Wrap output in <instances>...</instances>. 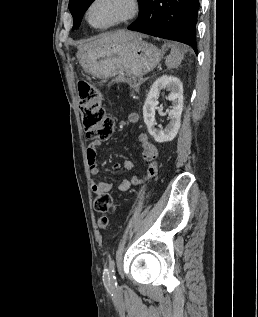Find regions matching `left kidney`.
<instances>
[{"label": "left kidney", "mask_w": 258, "mask_h": 317, "mask_svg": "<svg viewBox=\"0 0 258 317\" xmlns=\"http://www.w3.org/2000/svg\"><path fill=\"white\" fill-rule=\"evenodd\" d=\"M162 88L170 90L168 100H172L170 106L169 116L171 118L164 130L155 128L157 124L155 120V108L158 104V94ZM183 110V86L181 80L177 76H168L163 74L153 82L144 102L143 116L144 122L156 142H166V140H173L175 138L181 124V114Z\"/></svg>", "instance_id": "obj_1"}]
</instances>
